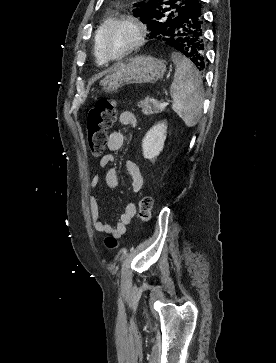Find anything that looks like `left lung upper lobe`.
<instances>
[{
  "instance_id": "left-lung-upper-lobe-1",
  "label": "left lung upper lobe",
  "mask_w": 276,
  "mask_h": 363,
  "mask_svg": "<svg viewBox=\"0 0 276 363\" xmlns=\"http://www.w3.org/2000/svg\"><path fill=\"white\" fill-rule=\"evenodd\" d=\"M188 0H148L147 3L140 2L141 9L133 12L140 16L141 20L147 24L150 31L149 38H155L157 33L167 30V25L177 15L178 11Z\"/></svg>"
}]
</instances>
